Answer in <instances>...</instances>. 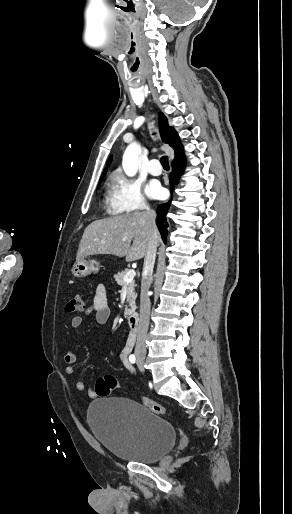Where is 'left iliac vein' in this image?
<instances>
[{
	"label": "left iliac vein",
	"instance_id": "1",
	"mask_svg": "<svg viewBox=\"0 0 292 514\" xmlns=\"http://www.w3.org/2000/svg\"><path fill=\"white\" fill-rule=\"evenodd\" d=\"M137 365H138L139 370H140L141 372H143V371H144V365H143V364H141L140 362H137Z\"/></svg>",
	"mask_w": 292,
	"mask_h": 514
}]
</instances>
